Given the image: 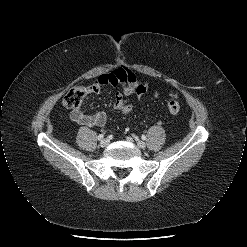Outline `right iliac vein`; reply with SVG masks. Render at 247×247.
I'll return each mask as SVG.
<instances>
[{
  "mask_svg": "<svg viewBox=\"0 0 247 247\" xmlns=\"http://www.w3.org/2000/svg\"><path fill=\"white\" fill-rule=\"evenodd\" d=\"M109 145V140L108 139H103L101 142H100V146L102 148H105Z\"/></svg>",
  "mask_w": 247,
  "mask_h": 247,
  "instance_id": "1",
  "label": "right iliac vein"
}]
</instances>
